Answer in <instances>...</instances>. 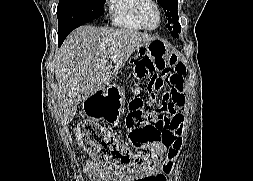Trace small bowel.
<instances>
[{
	"mask_svg": "<svg viewBox=\"0 0 253 181\" xmlns=\"http://www.w3.org/2000/svg\"><path fill=\"white\" fill-rule=\"evenodd\" d=\"M136 70L150 77V83L148 86V92L154 90L156 83L167 76L168 71L160 69L157 67L156 60L153 56L146 55L143 53L137 58L135 62ZM184 105V101H183ZM179 116L178 128L173 132L177 141L176 144L171 149V154L169 159L164 163H157L141 172L133 175H122L119 177H112L108 172L101 169L93 161L86 159L85 172L92 179L98 181H166V176L173 169V161L170 159L174 156V152L181 145V133L183 126V115L180 113V108L176 107Z\"/></svg>",
	"mask_w": 253,
	"mask_h": 181,
	"instance_id": "obj_1",
	"label": "small bowel"
}]
</instances>
